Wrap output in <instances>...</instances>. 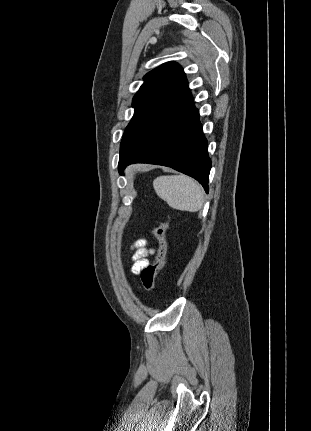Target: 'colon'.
Wrapping results in <instances>:
<instances>
[{
	"instance_id": "colon-1",
	"label": "colon",
	"mask_w": 311,
	"mask_h": 431,
	"mask_svg": "<svg viewBox=\"0 0 311 431\" xmlns=\"http://www.w3.org/2000/svg\"><path fill=\"white\" fill-rule=\"evenodd\" d=\"M168 228L169 221L165 219L153 230L154 236L159 244V250L154 262L144 267L141 272L143 285L148 291H153L155 289L158 273L164 267L168 259L169 243L166 237Z\"/></svg>"
}]
</instances>
